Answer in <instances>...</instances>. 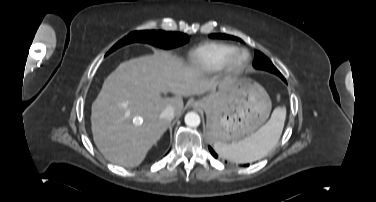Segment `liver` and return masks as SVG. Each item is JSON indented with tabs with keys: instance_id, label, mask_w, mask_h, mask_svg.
I'll return each instance as SVG.
<instances>
[{
	"instance_id": "obj_1",
	"label": "liver",
	"mask_w": 376,
	"mask_h": 202,
	"mask_svg": "<svg viewBox=\"0 0 376 202\" xmlns=\"http://www.w3.org/2000/svg\"><path fill=\"white\" fill-rule=\"evenodd\" d=\"M220 83L169 51L156 50L123 62L105 79L92 105L94 142L110 162L138 166L170 125L160 118L161 112L171 106L180 116L182 96L211 92ZM161 93L175 97L164 98Z\"/></svg>"
}]
</instances>
